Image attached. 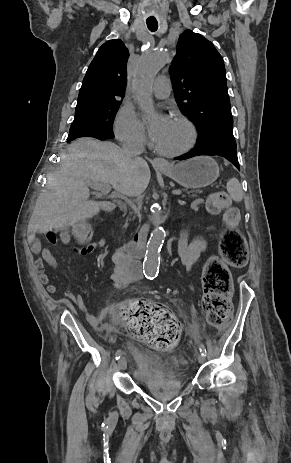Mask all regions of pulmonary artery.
I'll return each instance as SVG.
<instances>
[{
	"instance_id": "obj_1",
	"label": "pulmonary artery",
	"mask_w": 291,
	"mask_h": 463,
	"mask_svg": "<svg viewBox=\"0 0 291 463\" xmlns=\"http://www.w3.org/2000/svg\"><path fill=\"white\" fill-rule=\"evenodd\" d=\"M170 91H171L170 79L165 75L159 76L155 80L152 86V90H151L153 96L158 99L167 98L170 94Z\"/></svg>"
}]
</instances>
